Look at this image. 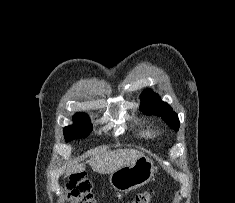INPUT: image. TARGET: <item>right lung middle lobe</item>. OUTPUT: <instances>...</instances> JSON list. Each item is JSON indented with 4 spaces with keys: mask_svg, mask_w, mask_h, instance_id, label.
Here are the masks:
<instances>
[{
    "mask_svg": "<svg viewBox=\"0 0 235 203\" xmlns=\"http://www.w3.org/2000/svg\"><path fill=\"white\" fill-rule=\"evenodd\" d=\"M74 124L64 128L66 142L77 138H85L92 131V125L88 116L84 113H77L74 117Z\"/></svg>",
    "mask_w": 235,
    "mask_h": 203,
    "instance_id": "1",
    "label": "right lung middle lobe"
}]
</instances>
